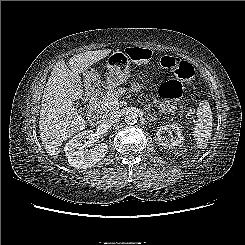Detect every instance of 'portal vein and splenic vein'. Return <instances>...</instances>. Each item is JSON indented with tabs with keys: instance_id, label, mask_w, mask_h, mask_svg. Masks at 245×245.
<instances>
[{
	"instance_id": "obj_1",
	"label": "portal vein and splenic vein",
	"mask_w": 245,
	"mask_h": 245,
	"mask_svg": "<svg viewBox=\"0 0 245 245\" xmlns=\"http://www.w3.org/2000/svg\"><path fill=\"white\" fill-rule=\"evenodd\" d=\"M118 105V98L111 99L107 102H102L97 108L98 110H107L110 108H115Z\"/></svg>"
}]
</instances>
